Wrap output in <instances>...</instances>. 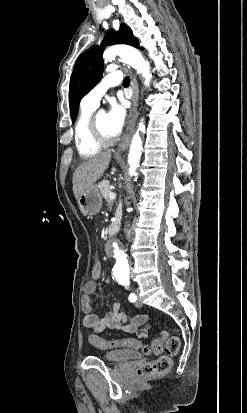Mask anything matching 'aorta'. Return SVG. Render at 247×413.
Segmentation results:
<instances>
[{
  "mask_svg": "<svg viewBox=\"0 0 247 413\" xmlns=\"http://www.w3.org/2000/svg\"><path fill=\"white\" fill-rule=\"evenodd\" d=\"M119 56V58L133 67L137 73L141 74L144 79V85L149 86L150 81L152 78V74L150 73V66L149 63L143 58L141 53L130 46L127 45H115L106 49L103 53V58L105 61L111 62ZM141 133H145V125L143 124L142 120L139 123L137 131L132 138L129 156H128V163H129V175L137 176V167L140 162L141 154H142V140L140 137ZM116 269L120 275V277H125L129 273V265L128 261L123 254H119L117 256V264Z\"/></svg>",
  "mask_w": 247,
  "mask_h": 413,
  "instance_id": "1",
  "label": "aorta"
}]
</instances>
